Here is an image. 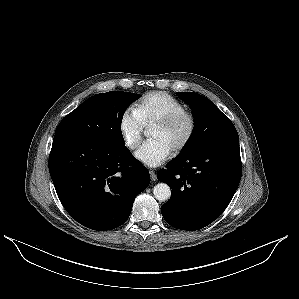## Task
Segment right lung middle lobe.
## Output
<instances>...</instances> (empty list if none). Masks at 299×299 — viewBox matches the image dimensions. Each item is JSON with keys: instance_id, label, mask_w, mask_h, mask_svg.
Wrapping results in <instances>:
<instances>
[{"instance_id": "1", "label": "right lung middle lobe", "mask_w": 299, "mask_h": 299, "mask_svg": "<svg viewBox=\"0 0 299 299\" xmlns=\"http://www.w3.org/2000/svg\"><path fill=\"white\" fill-rule=\"evenodd\" d=\"M138 97L120 91L96 94L64 117L54 137H71L110 148L123 147L122 118L126 108Z\"/></svg>"}]
</instances>
